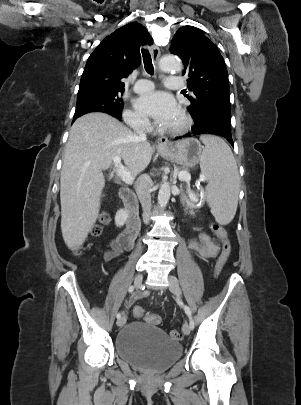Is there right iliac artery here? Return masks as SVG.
<instances>
[{
	"mask_svg": "<svg viewBox=\"0 0 301 405\" xmlns=\"http://www.w3.org/2000/svg\"><path fill=\"white\" fill-rule=\"evenodd\" d=\"M133 291H134V286H130L129 287V293H133ZM119 318H121V313L120 312L117 314V319H119Z\"/></svg>",
	"mask_w": 301,
	"mask_h": 405,
	"instance_id": "82829eb1",
	"label": "right iliac artery"
}]
</instances>
